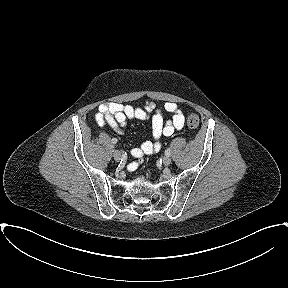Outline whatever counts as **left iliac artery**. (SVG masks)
I'll use <instances>...</instances> for the list:
<instances>
[{"label": "left iliac artery", "instance_id": "44dca946", "mask_svg": "<svg viewBox=\"0 0 288 288\" xmlns=\"http://www.w3.org/2000/svg\"><path fill=\"white\" fill-rule=\"evenodd\" d=\"M165 155L170 156V149H169V148H167V149L165 150Z\"/></svg>", "mask_w": 288, "mask_h": 288}]
</instances>
